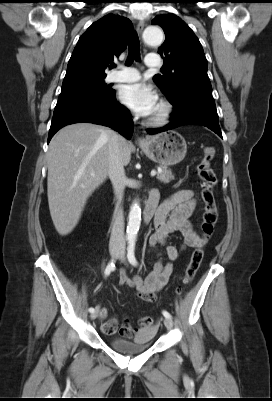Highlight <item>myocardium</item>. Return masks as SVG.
<instances>
[{
  "label": "myocardium",
  "mask_w": 272,
  "mask_h": 401,
  "mask_svg": "<svg viewBox=\"0 0 272 401\" xmlns=\"http://www.w3.org/2000/svg\"><path fill=\"white\" fill-rule=\"evenodd\" d=\"M173 115V107L170 102L161 100L152 117L147 120V125L151 127H162L168 124Z\"/></svg>",
  "instance_id": "1"
}]
</instances>
